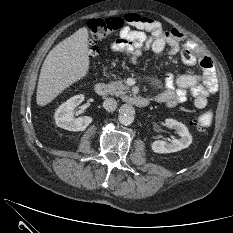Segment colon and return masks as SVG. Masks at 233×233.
Instances as JSON below:
<instances>
[{
    "label": "colon",
    "mask_w": 233,
    "mask_h": 233,
    "mask_svg": "<svg viewBox=\"0 0 233 233\" xmlns=\"http://www.w3.org/2000/svg\"><path fill=\"white\" fill-rule=\"evenodd\" d=\"M123 26V19L120 17L97 18L89 21L88 29L90 34V53L95 55L98 52L97 42L112 33L120 30ZM213 121V113L205 111L192 122L197 130H205Z\"/></svg>",
    "instance_id": "obj_1"
}]
</instances>
